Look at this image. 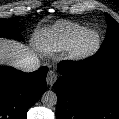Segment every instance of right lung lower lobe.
<instances>
[{
    "mask_svg": "<svg viewBox=\"0 0 119 119\" xmlns=\"http://www.w3.org/2000/svg\"><path fill=\"white\" fill-rule=\"evenodd\" d=\"M48 68L25 73L0 67V119H26L28 109L46 91Z\"/></svg>",
    "mask_w": 119,
    "mask_h": 119,
    "instance_id": "obj_1",
    "label": "right lung lower lobe"
}]
</instances>
